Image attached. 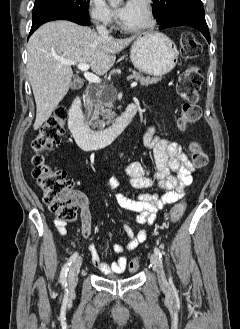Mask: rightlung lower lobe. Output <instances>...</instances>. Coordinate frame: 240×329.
I'll return each mask as SVG.
<instances>
[{"label":"right lung lower lobe","mask_w":240,"mask_h":329,"mask_svg":"<svg viewBox=\"0 0 240 329\" xmlns=\"http://www.w3.org/2000/svg\"><path fill=\"white\" fill-rule=\"evenodd\" d=\"M33 22L30 35L43 23L52 20H69L77 24L87 26L89 25V18L81 17L73 14L58 13V12H38L32 16Z\"/></svg>","instance_id":"right-lung-lower-lobe-1"}]
</instances>
